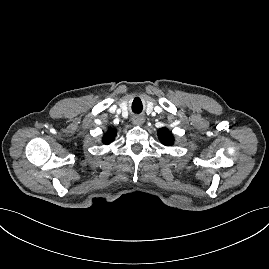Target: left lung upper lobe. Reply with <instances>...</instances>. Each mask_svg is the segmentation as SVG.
Wrapping results in <instances>:
<instances>
[{
	"label": "left lung upper lobe",
	"instance_id": "5c2ea615",
	"mask_svg": "<svg viewBox=\"0 0 269 269\" xmlns=\"http://www.w3.org/2000/svg\"><path fill=\"white\" fill-rule=\"evenodd\" d=\"M158 137L162 144L171 146L174 143V137L167 128H161L158 131Z\"/></svg>",
	"mask_w": 269,
	"mask_h": 269
}]
</instances>
